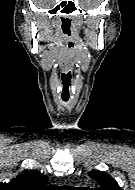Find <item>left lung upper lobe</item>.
<instances>
[{"label": "left lung upper lobe", "mask_w": 135, "mask_h": 190, "mask_svg": "<svg viewBox=\"0 0 135 190\" xmlns=\"http://www.w3.org/2000/svg\"><path fill=\"white\" fill-rule=\"evenodd\" d=\"M89 175L102 186L98 190H123L114 178L103 171L93 170L89 172Z\"/></svg>", "instance_id": "1"}]
</instances>
